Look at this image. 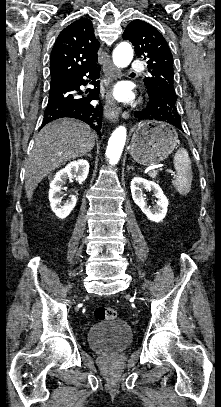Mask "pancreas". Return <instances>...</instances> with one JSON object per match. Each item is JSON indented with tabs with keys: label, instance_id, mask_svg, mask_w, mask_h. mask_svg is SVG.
<instances>
[{
	"label": "pancreas",
	"instance_id": "obj_1",
	"mask_svg": "<svg viewBox=\"0 0 221 407\" xmlns=\"http://www.w3.org/2000/svg\"><path fill=\"white\" fill-rule=\"evenodd\" d=\"M150 176H151L152 178H155V177H156V174H153V173H152Z\"/></svg>",
	"mask_w": 221,
	"mask_h": 407
}]
</instances>
